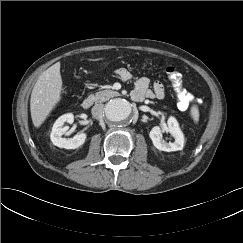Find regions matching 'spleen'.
Instances as JSON below:
<instances>
[{"instance_id": "3e777b00", "label": "spleen", "mask_w": 243, "mask_h": 243, "mask_svg": "<svg viewBox=\"0 0 243 243\" xmlns=\"http://www.w3.org/2000/svg\"><path fill=\"white\" fill-rule=\"evenodd\" d=\"M190 115L193 118L194 122L197 123L199 121V110L196 105L191 107Z\"/></svg>"}]
</instances>
